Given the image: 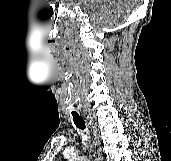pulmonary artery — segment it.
Returning a JSON list of instances; mask_svg holds the SVG:
<instances>
[{"label": "pulmonary artery", "mask_w": 171, "mask_h": 161, "mask_svg": "<svg viewBox=\"0 0 171 161\" xmlns=\"http://www.w3.org/2000/svg\"><path fill=\"white\" fill-rule=\"evenodd\" d=\"M82 161H89V160H87V159H84V160H82Z\"/></svg>", "instance_id": "pulmonary-artery-1"}]
</instances>
